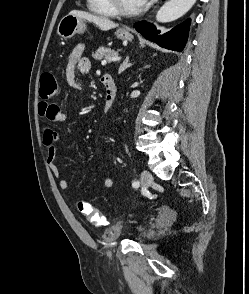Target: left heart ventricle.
<instances>
[{
	"label": "left heart ventricle",
	"instance_id": "left-heart-ventricle-1",
	"mask_svg": "<svg viewBox=\"0 0 249 294\" xmlns=\"http://www.w3.org/2000/svg\"><path fill=\"white\" fill-rule=\"evenodd\" d=\"M120 1L123 7L129 10L138 9L141 7L137 0H120Z\"/></svg>",
	"mask_w": 249,
	"mask_h": 294
}]
</instances>
